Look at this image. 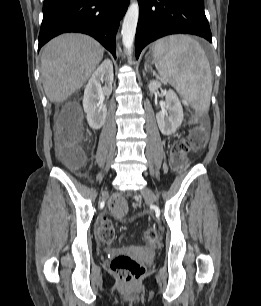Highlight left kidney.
<instances>
[{"instance_id": "left-kidney-1", "label": "left kidney", "mask_w": 261, "mask_h": 306, "mask_svg": "<svg viewBox=\"0 0 261 306\" xmlns=\"http://www.w3.org/2000/svg\"><path fill=\"white\" fill-rule=\"evenodd\" d=\"M149 90L156 91L161 87L159 81H150ZM165 106L156 114L158 127L163 135H172L183 121V108L177 94L173 90L165 93Z\"/></svg>"}]
</instances>
